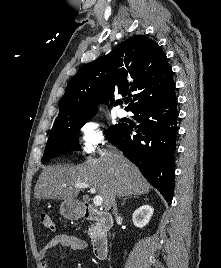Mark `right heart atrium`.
<instances>
[{
  "instance_id": "right-heart-atrium-1",
  "label": "right heart atrium",
  "mask_w": 221,
  "mask_h": 268,
  "mask_svg": "<svg viewBox=\"0 0 221 268\" xmlns=\"http://www.w3.org/2000/svg\"><path fill=\"white\" fill-rule=\"evenodd\" d=\"M83 152L94 155L105 144L107 129L98 119H90L81 127Z\"/></svg>"
}]
</instances>
